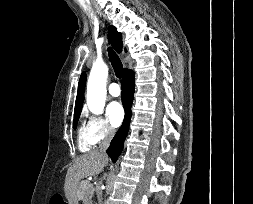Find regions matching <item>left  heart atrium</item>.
Here are the masks:
<instances>
[{"label":"left heart atrium","mask_w":253,"mask_h":204,"mask_svg":"<svg viewBox=\"0 0 253 204\" xmlns=\"http://www.w3.org/2000/svg\"><path fill=\"white\" fill-rule=\"evenodd\" d=\"M106 114L113 127H118L124 118V110L118 102H111L107 106Z\"/></svg>","instance_id":"left-heart-atrium-1"}]
</instances>
